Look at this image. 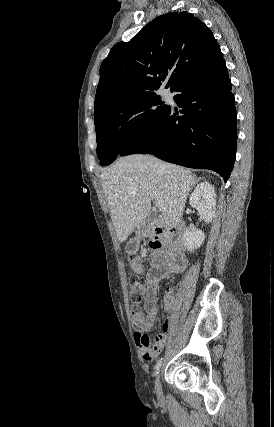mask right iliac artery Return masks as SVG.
Instances as JSON below:
<instances>
[{
    "label": "right iliac artery",
    "instance_id": "82829eb1",
    "mask_svg": "<svg viewBox=\"0 0 274 427\" xmlns=\"http://www.w3.org/2000/svg\"><path fill=\"white\" fill-rule=\"evenodd\" d=\"M162 359H163V358H161V359L157 362V364H156V366H155V376H157V375H158V373H159V369H160V367H161V365H162Z\"/></svg>",
    "mask_w": 274,
    "mask_h": 427
}]
</instances>
